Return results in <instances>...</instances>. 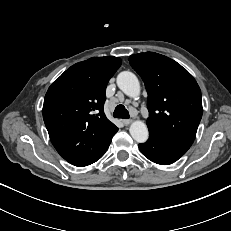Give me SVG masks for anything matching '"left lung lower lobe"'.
<instances>
[{
	"label": "left lung lower lobe",
	"instance_id": "0a47b994",
	"mask_svg": "<svg viewBox=\"0 0 231 231\" xmlns=\"http://www.w3.org/2000/svg\"><path fill=\"white\" fill-rule=\"evenodd\" d=\"M139 149L146 158L161 165L174 163L188 150L153 132H149V139L145 143L139 144Z\"/></svg>",
	"mask_w": 231,
	"mask_h": 231
}]
</instances>
